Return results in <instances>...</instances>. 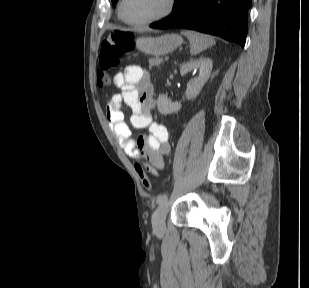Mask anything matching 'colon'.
Here are the masks:
<instances>
[{"label": "colon", "instance_id": "1", "mask_svg": "<svg viewBox=\"0 0 309 288\" xmlns=\"http://www.w3.org/2000/svg\"><path fill=\"white\" fill-rule=\"evenodd\" d=\"M134 48V36L129 31L118 30L111 33L100 46L97 84L103 88L112 82L111 71L115 69L121 58ZM135 169L147 190L152 189L151 181L147 177L142 163L135 162Z\"/></svg>", "mask_w": 309, "mask_h": 288}]
</instances>
